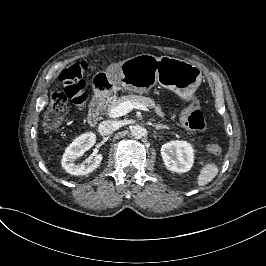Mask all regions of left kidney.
I'll return each mask as SVG.
<instances>
[{
	"instance_id": "obj_1",
	"label": "left kidney",
	"mask_w": 266,
	"mask_h": 266,
	"mask_svg": "<svg viewBox=\"0 0 266 266\" xmlns=\"http://www.w3.org/2000/svg\"><path fill=\"white\" fill-rule=\"evenodd\" d=\"M165 166L174 172H187L193 163V148L188 142L172 141L161 148Z\"/></svg>"
}]
</instances>
